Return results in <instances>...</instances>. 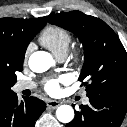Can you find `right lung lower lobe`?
<instances>
[{
    "instance_id": "1",
    "label": "right lung lower lobe",
    "mask_w": 127,
    "mask_h": 127,
    "mask_svg": "<svg viewBox=\"0 0 127 127\" xmlns=\"http://www.w3.org/2000/svg\"><path fill=\"white\" fill-rule=\"evenodd\" d=\"M46 109V104L35 97H24L19 102L17 94L0 101V127H34L35 121Z\"/></svg>"
}]
</instances>
